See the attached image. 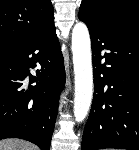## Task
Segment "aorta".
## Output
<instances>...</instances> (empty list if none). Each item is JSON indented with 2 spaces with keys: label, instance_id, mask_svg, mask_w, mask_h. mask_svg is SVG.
<instances>
[{
  "label": "aorta",
  "instance_id": "aorta-1",
  "mask_svg": "<svg viewBox=\"0 0 139 150\" xmlns=\"http://www.w3.org/2000/svg\"><path fill=\"white\" fill-rule=\"evenodd\" d=\"M72 53L75 75L74 117L77 122H82L89 112L93 97L91 41L83 22L73 27Z\"/></svg>",
  "mask_w": 139,
  "mask_h": 150
}]
</instances>
